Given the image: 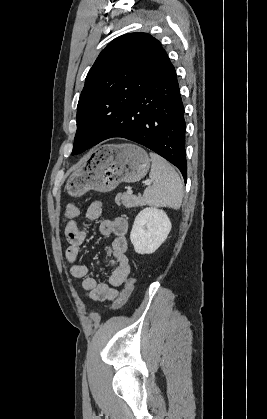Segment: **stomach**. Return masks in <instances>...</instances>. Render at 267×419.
<instances>
[{"label":"stomach","instance_id":"stomach-1","mask_svg":"<svg viewBox=\"0 0 267 419\" xmlns=\"http://www.w3.org/2000/svg\"><path fill=\"white\" fill-rule=\"evenodd\" d=\"M147 152L138 145L104 144L91 151L66 182L71 196H81L89 190L109 192L121 182L141 180L150 168Z\"/></svg>","mask_w":267,"mask_h":419}]
</instances>
